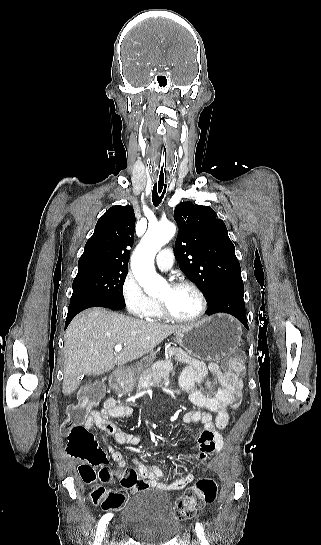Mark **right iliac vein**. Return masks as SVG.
I'll use <instances>...</instances> for the list:
<instances>
[{
    "label": "right iliac vein",
    "instance_id": "1",
    "mask_svg": "<svg viewBox=\"0 0 321 545\" xmlns=\"http://www.w3.org/2000/svg\"><path fill=\"white\" fill-rule=\"evenodd\" d=\"M108 537H109V532H108V528H107L106 533L104 534V539L106 540V539H108Z\"/></svg>",
    "mask_w": 321,
    "mask_h": 545
}]
</instances>
